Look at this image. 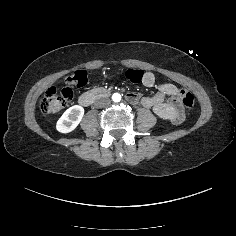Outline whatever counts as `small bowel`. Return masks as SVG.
Wrapping results in <instances>:
<instances>
[{
  "instance_id": "obj_1",
  "label": "small bowel",
  "mask_w": 236,
  "mask_h": 236,
  "mask_svg": "<svg viewBox=\"0 0 236 236\" xmlns=\"http://www.w3.org/2000/svg\"><path fill=\"white\" fill-rule=\"evenodd\" d=\"M144 84H145L146 86H153L154 81H153L152 77L147 76V77L144 79ZM169 90L172 91V92H174L175 94L179 93V91H178L176 88H174V87L169 88Z\"/></svg>"
}]
</instances>
